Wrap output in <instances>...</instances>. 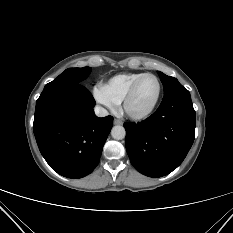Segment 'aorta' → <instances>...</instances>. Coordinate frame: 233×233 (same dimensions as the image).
Returning a JSON list of instances; mask_svg holds the SVG:
<instances>
[{"label": "aorta", "instance_id": "762f6f07", "mask_svg": "<svg viewBox=\"0 0 233 233\" xmlns=\"http://www.w3.org/2000/svg\"><path fill=\"white\" fill-rule=\"evenodd\" d=\"M111 135L116 140H122L126 136V131L123 126L116 125L111 130Z\"/></svg>", "mask_w": 233, "mask_h": 233}]
</instances>
